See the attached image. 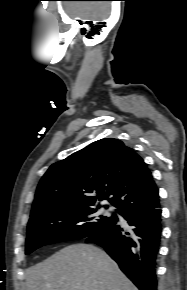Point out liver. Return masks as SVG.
Returning <instances> with one entry per match:
<instances>
[{
	"label": "liver",
	"mask_w": 187,
	"mask_h": 290,
	"mask_svg": "<svg viewBox=\"0 0 187 290\" xmlns=\"http://www.w3.org/2000/svg\"><path fill=\"white\" fill-rule=\"evenodd\" d=\"M26 290H138L94 245L73 244L27 270Z\"/></svg>",
	"instance_id": "1"
}]
</instances>
